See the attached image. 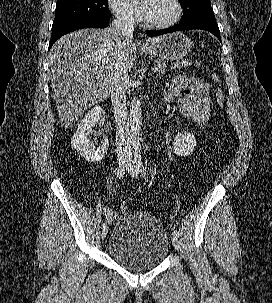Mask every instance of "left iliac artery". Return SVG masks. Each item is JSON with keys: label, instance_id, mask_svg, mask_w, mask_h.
Here are the masks:
<instances>
[{"label": "left iliac artery", "instance_id": "44dca946", "mask_svg": "<svg viewBox=\"0 0 272 303\" xmlns=\"http://www.w3.org/2000/svg\"><path fill=\"white\" fill-rule=\"evenodd\" d=\"M134 161L136 163V166L139 170V172L141 173V175L147 179V174H146V170L143 166L142 163V157H141V145L138 143L135 145V152H134ZM173 235L179 237L180 233L177 230H173Z\"/></svg>", "mask_w": 272, "mask_h": 303}]
</instances>
